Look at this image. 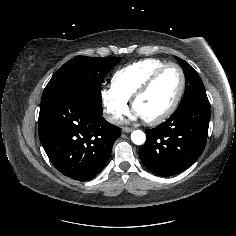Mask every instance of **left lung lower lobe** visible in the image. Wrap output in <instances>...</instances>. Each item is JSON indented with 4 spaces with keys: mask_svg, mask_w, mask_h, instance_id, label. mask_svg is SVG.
Returning a JSON list of instances; mask_svg holds the SVG:
<instances>
[{
    "mask_svg": "<svg viewBox=\"0 0 236 236\" xmlns=\"http://www.w3.org/2000/svg\"><path fill=\"white\" fill-rule=\"evenodd\" d=\"M209 121L210 103L207 97L178 107L167 121L145 130L146 142L139 150L143 164L159 176L184 171L202 154Z\"/></svg>",
    "mask_w": 236,
    "mask_h": 236,
    "instance_id": "0a47b994",
    "label": "left lung lower lobe"
}]
</instances>
